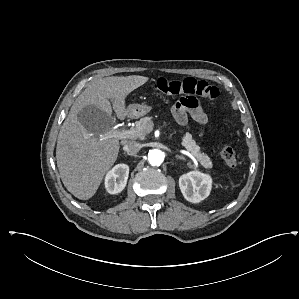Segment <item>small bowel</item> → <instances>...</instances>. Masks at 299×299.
Returning <instances> with one entry per match:
<instances>
[{
	"label": "small bowel",
	"instance_id": "obj_1",
	"mask_svg": "<svg viewBox=\"0 0 299 299\" xmlns=\"http://www.w3.org/2000/svg\"><path fill=\"white\" fill-rule=\"evenodd\" d=\"M188 114L199 124H206L208 116L198 100L194 97H182L172 107V115L176 122L185 125L188 121Z\"/></svg>",
	"mask_w": 299,
	"mask_h": 299
}]
</instances>
